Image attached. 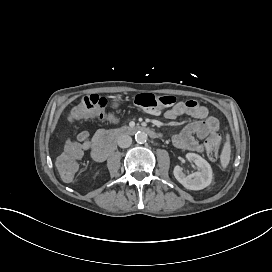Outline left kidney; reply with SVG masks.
Returning a JSON list of instances; mask_svg holds the SVG:
<instances>
[{
  "label": "left kidney",
  "instance_id": "obj_1",
  "mask_svg": "<svg viewBox=\"0 0 272 272\" xmlns=\"http://www.w3.org/2000/svg\"><path fill=\"white\" fill-rule=\"evenodd\" d=\"M186 158L193 161L199 168V171L185 175L180 166H175L173 174L178 182H180L186 189L201 190L209 186L212 181V168L210 164L200 155L195 153H187Z\"/></svg>",
  "mask_w": 272,
  "mask_h": 272
}]
</instances>
